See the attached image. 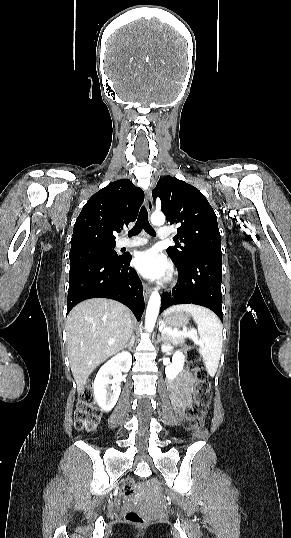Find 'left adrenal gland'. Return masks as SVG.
Masks as SVG:
<instances>
[{
	"instance_id": "1",
	"label": "left adrenal gland",
	"mask_w": 291,
	"mask_h": 538,
	"mask_svg": "<svg viewBox=\"0 0 291 538\" xmlns=\"http://www.w3.org/2000/svg\"><path fill=\"white\" fill-rule=\"evenodd\" d=\"M160 332L162 333V330H160ZM161 339L164 340L163 335H162L161 338H160V336H158V342L161 341Z\"/></svg>"
}]
</instances>
